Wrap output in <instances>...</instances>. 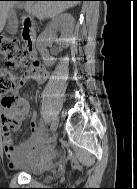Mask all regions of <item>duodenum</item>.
<instances>
[{
	"mask_svg": "<svg viewBox=\"0 0 137 189\" xmlns=\"http://www.w3.org/2000/svg\"><path fill=\"white\" fill-rule=\"evenodd\" d=\"M22 32L21 37L25 49L32 58H35L36 54V34L33 29V21L29 19H23L21 21Z\"/></svg>",
	"mask_w": 137,
	"mask_h": 189,
	"instance_id": "410a0bca",
	"label": "duodenum"
}]
</instances>
